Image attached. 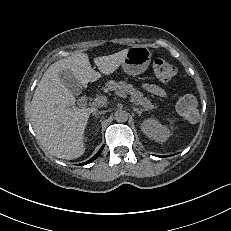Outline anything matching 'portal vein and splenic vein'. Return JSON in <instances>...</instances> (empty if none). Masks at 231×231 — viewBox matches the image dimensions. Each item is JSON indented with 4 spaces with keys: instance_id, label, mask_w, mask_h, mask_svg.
Wrapping results in <instances>:
<instances>
[{
    "instance_id": "1",
    "label": "portal vein and splenic vein",
    "mask_w": 231,
    "mask_h": 231,
    "mask_svg": "<svg viewBox=\"0 0 231 231\" xmlns=\"http://www.w3.org/2000/svg\"><path fill=\"white\" fill-rule=\"evenodd\" d=\"M115 94L120 96V97H123V98L127 97L126 93L122 92V91H116ZM106 102H107V97L106 96H98L93 100L92 103L95 106H103V105L106 104Z\"/></svg>"
}]
</instances>
